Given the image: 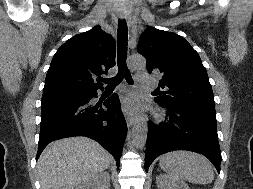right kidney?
I'll list each match as a JSON object with an SVG mask.
<instances>
[{
	"label": "right kidney",
	"instance_id": "obj_1",
	"mask_svg": "<svg viewBox=\"0 0 253 189\" xmlns=\"http://www.w3.org/2000/svg\"><path fill=\"white\" fill-rule=\"evenodd\" d=\"M109 186L110 176L107 172H102L82 182L76 189H109Z\"/></svg>",
	"mask_w": 253,
	"mask_h": 189
}]
</instances>
